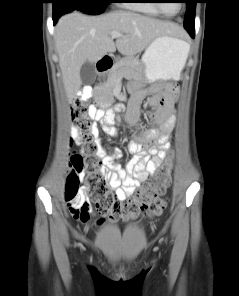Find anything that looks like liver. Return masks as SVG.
Segmentation results:
<instances>
[{"instance_id": "1", "label": "liver", "mask_w": 239, "mask_h": 296, "mask_svg": "<svg viewBox=\"0 0 239 296\" xmlns=\"http://www.w3.org/2000/svg\"><path fill=\"white\" fill-rule=\"evenodd\" d=\"M112 31L123 34L116 42ZM181 27L139 13L115 11L91 16L73 11L62 16L55 33L64 89L69 100L82 85L80 70L85 62L95 63L107 53L117 50L132 58L141 53L155 38L162 35H182Z\"/></svg>"}]
</instances>
